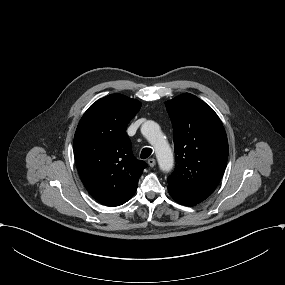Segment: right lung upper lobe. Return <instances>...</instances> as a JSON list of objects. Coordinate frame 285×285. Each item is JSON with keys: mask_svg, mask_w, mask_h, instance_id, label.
Returning <instances> with one entry per match:
<instances>
[{"mask_svg": "<svg viewBox=\"0 0 285 285\" xmlns=\"http://www.w3.org/2000/svg\"><path fill=\"white\" fill-rule=\"evenodd\" d=\"M141 103L110 94L92 104L82 116L74 136V157L80 178L100 203L119 206L136 192L147 164L137 160L126 134Z\"/></svg>", "mask_w": 285, "mask_h": 285, "instance_id": "1", "label": "right lung upper lobe"}]
</instances>
